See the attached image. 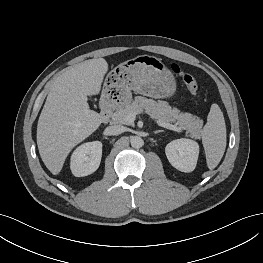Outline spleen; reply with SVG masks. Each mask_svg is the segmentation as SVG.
Listing matches in <instances>:
<instances>
[{
    "instance_id": "3e777b00",
    "label": "spleen",
    "mask_w": 263,
    "mask_h": 263,
    "mask_svg": "<svg viewBox=\"0 0 263 263\" xmlns=\"http://www.w3.org/2000/svg\"><path fill=\"white\" fill-rule=\"evenodd\" d=\"M226 125L218 104L211 105L207 123L202 131V144L209 169H214L221 161L226 149Z\"/></svg>"
}]
</instances>
